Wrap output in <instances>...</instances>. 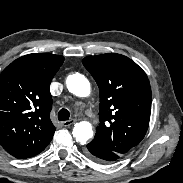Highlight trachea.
Segmentation results:
<instances>
[{
  "label": "trachea",
  "instance_id": "1",
  "mask_svg": "<svg viewBox=\"0 0 183 183\" xmlns=\"http://www.w3.org/2000/svg\"><path fill=\"white\" fill-rule=\"evenodd\" d=\"M70 117V113L67 109H61L59 112H58V120L60 121H66L68 120Z\"/></svg>",
  "mask_w": 183,
  "mask_h": 183
}]
</instances>
